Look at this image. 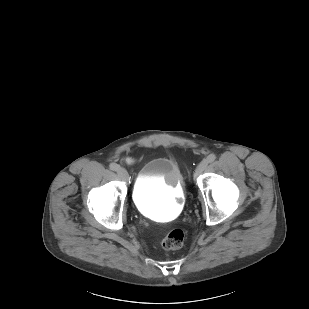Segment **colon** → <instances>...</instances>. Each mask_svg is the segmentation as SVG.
I'll use <instances>...</instances> for the list:
<instances>
[{"label": "colon", "mask_w": 309, "mask_h": 309, "mask_svg": "<svg viewBox=\"0 0 309 309\" xmlns=\"http://www.w3.org/2000/svg\"><path fill=\"white\" fill-rule=\"evenodd\" d=\"M184 242V232L181 229H172L162 240V247L167 250L178 249Z\"/></svg>", "instance_id": "obj_1"}]
</instances>
